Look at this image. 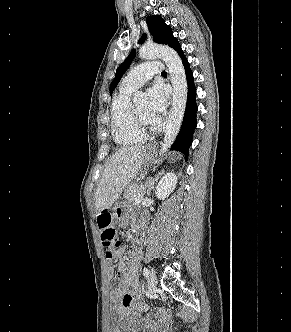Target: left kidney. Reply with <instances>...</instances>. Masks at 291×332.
Instances as JSON below:
<instances>
[{"label": "left kidney", "mask_w": 291, "mask_h": 332, "mask_svg": "<svg viewBox=\"0 0 291 332\" xmlns=\"http://www.w3.org/2000/svg\"><path fill=\"white\" fill-rule=\"evenodd\" d=\"M177 176L173 172L166 173L156 186L155 194L158 199L164 200L175 189Z\"/></svg>", "instance_id": "5707ae66"}]
</instances>
